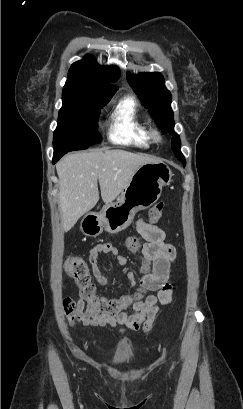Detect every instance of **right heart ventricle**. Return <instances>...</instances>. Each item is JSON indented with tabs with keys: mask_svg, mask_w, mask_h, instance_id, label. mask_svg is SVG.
<instances>
[{
	"mask_svg": "<svg viewBox=\"0 0 243 409\" xmlns=\"http://www.w3.org/2000/svg\"><path fill=\"white\" fill-rule=\"evenodd\" d=\"M111 142L149 149L153 142L150 129L140 120L136 101L132 97L120 100L110 115Z\"/></svg>",
	"mask_w": 243,
	"mask_h": 409,
	"instance_id": "obj_1",
	"label": "right heart ventricle"
}]
</instances>
